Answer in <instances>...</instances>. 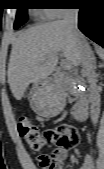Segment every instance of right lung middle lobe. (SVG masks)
Masks as SVG:
<instances>
[{
  "label": "right lung middle lobe",
  "mask_w": 104,
  "mask_h": 169,
  "mask_svg": "<svg viewBox=\"0 0 104 169\" xmlns=\"http://www.w3.org/2000/svg\"><path fill=\"white\" fill-rule=\"evenodd\" d=\"M27 20V8L22 5L17 9V15L15 19L14 29H18Z\"/></svg>",
  "instance_id": "dd1d6c3e"
}]
</instances>
